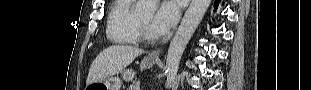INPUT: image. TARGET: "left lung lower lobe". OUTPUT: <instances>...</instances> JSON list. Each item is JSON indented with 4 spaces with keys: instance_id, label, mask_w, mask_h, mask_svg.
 <instances>
[{
    "instance_id": "left-lung-lower-lobe-1",
    "label": "left lung lower lobe",
    "mask_w": 311,
    "mask_h": 90,
    "mask_svg": "<svg viewBox=\"0 0 311 90\" xmlns=\"http://www.w3.org/2000/svg\"><path fill=\"white\" fill-rule=\"evenodd\" d=\"M219 2H220V0H216V5H218V4H219Z\"/></svg>"
}]
</instances>
